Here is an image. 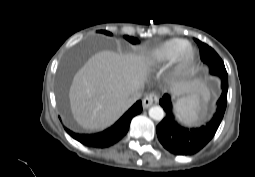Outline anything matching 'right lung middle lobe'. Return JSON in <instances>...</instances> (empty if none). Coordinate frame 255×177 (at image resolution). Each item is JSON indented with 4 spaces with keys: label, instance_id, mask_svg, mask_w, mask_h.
<instances>
[{
    "label": "right lung middle lobe",
    "instance_id": "right-lung-middle-lobe-1",
    "mask_svg": "<svg viewBox=\"0 0 255 177\" xmlns=\"http://www.w3.org/2000/svg\"><path fill=\"white\" fill-rule=\"evenodd\" d=\"M100 33H103L106 35H112L110 32L105 31V30H101ZM125 39L128 40L129 42H131L132 44L139 43L138 39L133 38V37L125 36ZM60 99H61V103L63 105H65V89H64V87H62L60 90Z\"/></svg>",
    "mask_w": 255,
    "mask_h": 177
}]
</instances>
